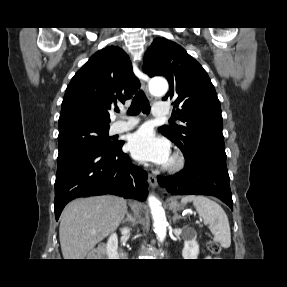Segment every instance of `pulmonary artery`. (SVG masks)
<instances>
[{"mask_svg": "<svg viewBox=\"0 0 287 287\" xmlns=\"http://www.w3.org/2000/svg\"><path fill=\"white\" fill-rule=\"evenodd\" d=\"M152 114L158 117H164L169 114V108L166 104L155 103L153 106ZM139 120L134 117H129L125 121H116L112 126L113 133H121L132 129L138 124Z\"/></svg>", "mask_w": 287, "mask_h": 287, "instance_id": "e3ab8cb5", "label": "pulmonary artery"}]
</instances>
